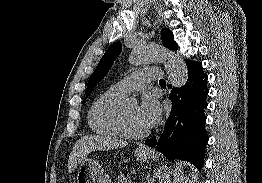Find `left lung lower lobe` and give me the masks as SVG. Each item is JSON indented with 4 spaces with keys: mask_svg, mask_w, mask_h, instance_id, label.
Returning a JSON list of instances; mask_svg holds the SVG:
<instances>
[{
    "mask_svg": "<svg viewBox=\"0 0 262 183\" xmlns=\"http://www.w3.org/2000/svg\"><path fill=\"white\" fill-rule=\"evenodd\" d=\"M188 80L181 88H172L170 100L172 109L165 123L163 133L145 141L149 146L168 159H182L191 162L198 169L204 162V150L208 142L205 130L208 95L207 76L202 63L186 60ZM171 88V85H169Z\"/></svg>",
    "mask_w": 262,
    "mask_h": 183,
    "instance_id": "left-lung-lower-lobe-1",
    "label": "left lung lower lobe"
}]
</instances>
